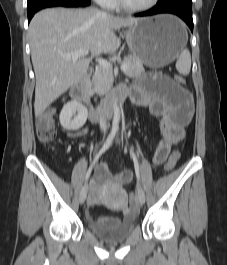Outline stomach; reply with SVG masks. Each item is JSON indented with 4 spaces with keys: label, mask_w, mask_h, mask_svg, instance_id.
I'll return each instance as SVG.
<instances>
[{
    "label": "stomach",
    "mask_w": 227,
    "mask_h": 265,
    "mask_svg": "<svg viewBox=\"0 0 227 265\" xmlns=\"http://www.w3.org/2000/svg\"><path fill=\"white\" fill-rule=\"evenodd\" d=\"M124 34L133 56L153 68L171 63L188 39L181 20L169 14L142 19Z\"/></svg>",
    "instance_id": "obj_1"
}]
</instances>
